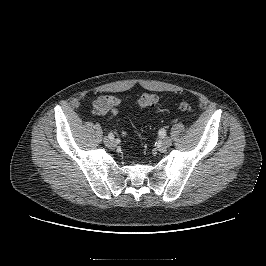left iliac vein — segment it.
<instances>
[{"label": "left iliac vein", "mask_w": 266, "mask_h": 266, "mask_svg": "<svg viewBox=\"0 0 266 266\" xmlns=\"http://www.w3.org/2000/svg\"><path fill=\"white\" fill-rule=\"evenodd\" d=\"M171 144H172V140L169 137H165L162 140V143H161V145H162L163 148H168V147L171 146Z\"/></svg>", "instance_id": "left-iliac-vein-1"}]
</instances>
